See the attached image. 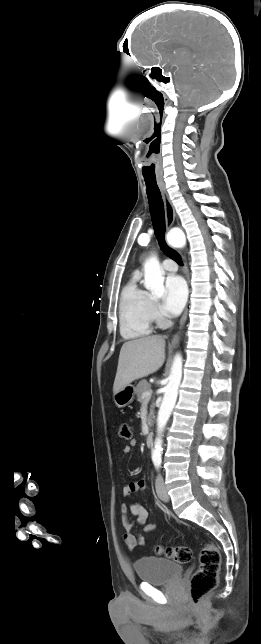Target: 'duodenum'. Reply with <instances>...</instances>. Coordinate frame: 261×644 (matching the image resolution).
Segmentation results:
<instances>
[{
  "instance_id": "duodenum-1",
  "label": "duodenum",
  "mask_w": 261,
  "mask_h": 644,
  "mask_svg": "<svg viewBox=\"0 0 261 644\" xmlns=\"http://www.w3.org/2000/svg\"><path fill=\"white\" fill-rule=\"evenodd\" d=\"M153 439H154V434H153V432H151V431H150V432H148V433L146 434V437H145V444H146V446H148V447H149V446H151V445H152V443H153Z\"/></svg>"
}]
</instances>
